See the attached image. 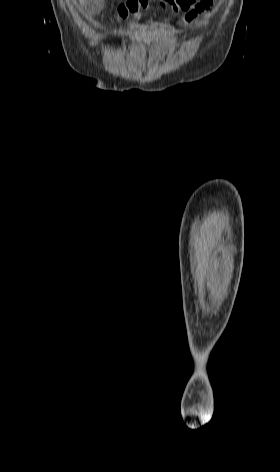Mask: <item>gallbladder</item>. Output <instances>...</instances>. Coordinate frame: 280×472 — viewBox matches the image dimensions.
Wrapping results in <instances>:
<instances>
[{
    "mask_svg": "<svg viewBox=\"0 0 280 472\" xmlns=\"http://www.w3.org/2000/svg\"><path fill=\"white\" fill-rule=\"evenodd\" d=\"M105 0H86V7L91 15L99 14L104 8Z\"/></svg>",
    "mask_w": 280,
    "mask_h": 472,
    "instance_id": "1",
    "label": "gallbladder"
}]
</instances>
